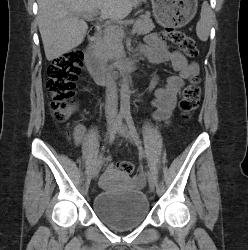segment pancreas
<instances>
[{"instance_id":"obj_1","label":"pancreas","mask_w":248,"mask_h":250,"mask_svg":"<svg viewBox=\"0 0 248 250\" xmlns=\"http://www.w3.org/2000/svg\"><path fill=\"white\" fill-rule=\"evenodd\" d=\"M154 27L150 13L147 12L136 20L133 29L137 34L145 35L150 33ZM123 37L124 31L121 27L104 30L103 38L99 43V52L103 60H116L123 55Z\"/></svg>"}]
</instances>
